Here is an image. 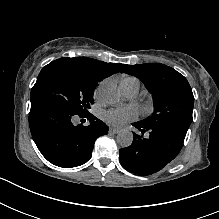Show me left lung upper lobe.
Instances as JSON below:
<instances>
[{"label":"left lung upper lobe","mask_w":219,"mask_h":219,"mask_svg":"<svg viewBox=\"0 0 219 219\" xmlns=\"http://www.w3.org/2000/svg\"><path fill=\"white\" fill-rule=\"evenodd\" d=\"M123 73L140 79L152 94L154 112L143 124L178 131L186 136L192 122L194 96L187 79L164 64L127 65Z\"/></svg>","instance_id":"5c2ea615"}]
</instances>
